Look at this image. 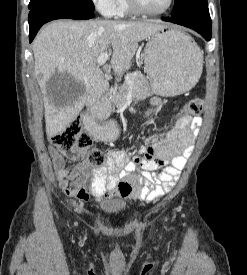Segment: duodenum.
Wrapping results in <instances>:
<instances>
[{
	"label": "duodenum",
	"instance_id": "1",
	"mask_svg": "<svg viewBox=\"0 0 247 275\" xmlns=\"http://www.w3.org/2000/svg\"><path fill=\"white\" fill-rule=\"evenodd\" d=\"M110 95H111V91H106L100 101L98 102V104L96 105L95 111L99 112L101 110H108L110 108Z\"/></svg>",
	"mask_w": 247,
	"mask_h": 275
}]
</instances>
